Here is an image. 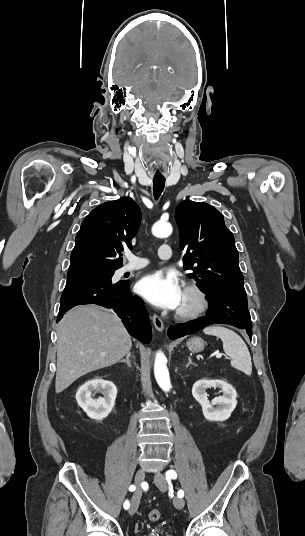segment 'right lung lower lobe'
I'll return each mask as SVG.
<instances>
[{
  "mask_svg": "<svg viewBox=\"0 0 305 536\" xmlns=\"http://www.w3.org/2000/svg\"><path fill=\"white\" fill-rule=\"evenodd\" d=\"M97 304L113 309L129 334L143 343L152 338L151 323L142 301L132 296L128 283L111 286L76 283L66 285L60 300L58 317L77 305Z\"/></svg>",
  "mask_w": 305,
  "mask_h": 536,
  "instance_id": "obj_1",
  "label": "right lung lower lobe"
}]
</instances>
